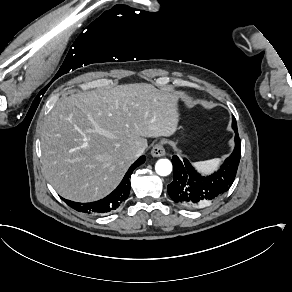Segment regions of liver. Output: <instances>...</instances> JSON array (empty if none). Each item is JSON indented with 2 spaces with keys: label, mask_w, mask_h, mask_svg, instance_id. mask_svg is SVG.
<instances>
[{
  "label": "liver",
  "mask_w": 292,
  "mask_h": 292,
  "mask_svg": "<svg viewBox=\"0 0 292 292\" xmlns=\"http://www.w3.org/2000/svg\"><path fill=\"white\" fill-rule=\"evenodd\" d=\"M179 95L149 84L121 85L58 101L41 131L45 177L64 198L89 202L110 193L145 138L173 136Z\"/></svg>",
  "instance_id": "1"
}]
</instances>
